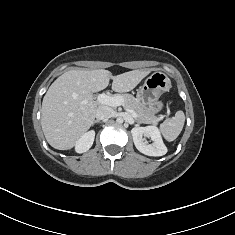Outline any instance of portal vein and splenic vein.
<instances>
[{
    "label": "portal vein and splenic vein",
    "mask_w": 235,
    "mask_h": 235,
    "mask_svg": "<svg viewBox=\"0 0 235 235\" xmlns=\"http://www.w3.org/2000/svg\"><path fill=\"white\" fill-rule=\"evenodd\" d=\"M97 101L101 104H105L108 106H112V107H117V106H123L124 105V100L121 96L117 95V96H108L106 94H99L97 97ZM126 111L128 113L131 114V116L133 118H137V114L130 109H126Z\"/></svg>",
    "instance_id": "18ae733b"
}]
</instances>
